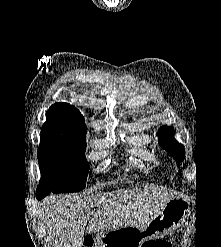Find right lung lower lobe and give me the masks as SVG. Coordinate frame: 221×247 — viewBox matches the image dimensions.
<instances>
[{
    "mask_svg": "<svg viewBox=\"0 0 221 247\" xmlns=\"http://www.w3.org/2000/svg\"><path fill=\"white\" fill-rule=\"evenodd\" d=\"M51 191L48 189L40 188L38 187L36 190V198L38 200L43 199L45 196H47Z\"/></svg>",
    "mask_w": 221,
    "mask_h": 247,
    "instance_id": "right-lung-lower-lobe-1",
    "label": "right lung lower lobe"
}]
</instances>
